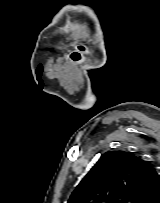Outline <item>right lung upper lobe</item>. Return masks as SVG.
Listing matches in <instances>:
<instances>
[{
    "label": "right lung upper lobe",
    "mask_w": 160,
    "mask_h": 203,
    "mask_svg": "<svg viewBox=\"0 0 160 203\" xmlns=\"http://www.w3.org/2000/svg\"><path fill=\"white\" fill-rule=\"evenodd\" d=\"M160 196V175L126 151L101 156L71 194L68 203H150Z\"/></svg>",
    "instance_id": "cb5924a9"
}]
</instances>
